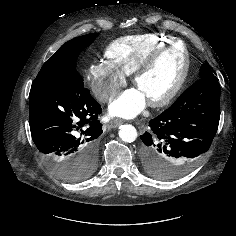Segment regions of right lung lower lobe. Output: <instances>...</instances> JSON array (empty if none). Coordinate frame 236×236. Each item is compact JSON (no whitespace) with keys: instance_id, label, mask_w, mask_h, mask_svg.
I'll list each match as a JSON object with an SVG mask.
<instances>
[{"instance_id":"98d812e1","label":"right lung lower lobe","mask_w":236,"mask_h":236,"mask_svg":"<svg viewBox=\"0 0 236 236\" xmlns=\"http://www.w3.org/2000/svg\"><path fill=\"white\" fill-rule=\"evenodd\" d=\"M32 139L46 161L97 160L101 106L74 76L34 80L29 94Z\"/></svg>"}]
</instances>
